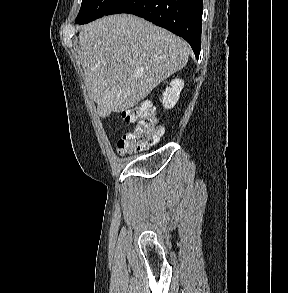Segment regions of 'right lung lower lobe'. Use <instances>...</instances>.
I'll return each instance as SVG.
<instances>
[{
    "instance_id": "right-lung-lower-lobe-1",
    "label": "right lung lower lobe",
    "mask_w": 288,
    "mask_h": 293,
    "mask_svg": "<svg viewBox=\"0 0 288 293\" xmlns=\"http://www.w3.org/2000/svg\"><path fill=\"white\" fill-rule=\"evenodd\" d=\"M129 13L184 38L196 58L201 50L203 0H121L106 15Z\"/></svg>"
}]
</instances>
